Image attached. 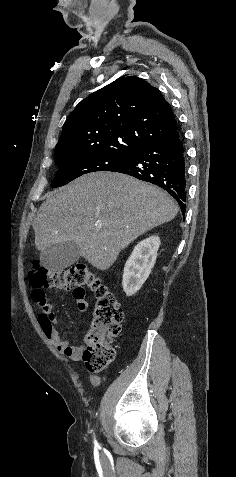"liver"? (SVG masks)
Returning <instances> with one entry per match:
<instances>
[{"label": "liver", "mask_w": 236, "mask_h": 477, "mask_svg": "<svg viewBox=\"0 0 236 477\" xmlns=\"http://www.w3.org/2000/svg\"><path fill=\"white\" fill-rule=\"evenodd\" d=\"M178 207L160 188L121 173L83 175L50 193L34 220L35 245L44 251L75 242L80 255L107 270L121 250L175 218Z\"/></svg>", "instance_id": "1"}]
</instances>
